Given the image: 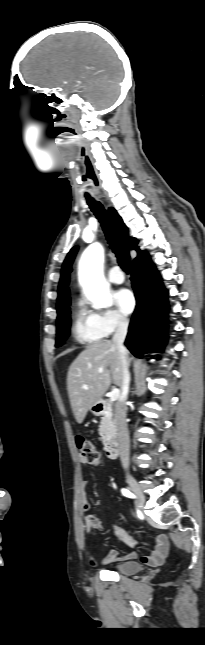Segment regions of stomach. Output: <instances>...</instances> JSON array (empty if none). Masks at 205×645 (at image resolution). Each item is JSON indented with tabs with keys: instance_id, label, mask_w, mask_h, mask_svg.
<instances>
[{
	"instance_id": "obj_1",
	"label": "stomach",
	"mask_w": 205,
	"mask_h": 645,
	"mask_svg": "<svg viewBox=\"0 0 205 645\" xmlns=\"http://www.w3.org/2000/svg\"><path fill=\"white\" fill-rule=\"evenodd\" d=\"M90 410H91V412H92L93 414L98 415V414H99V410H98V405H97V403H96L95 405H93V406L90 408Z\"/></svg>"
}]
</instances>
